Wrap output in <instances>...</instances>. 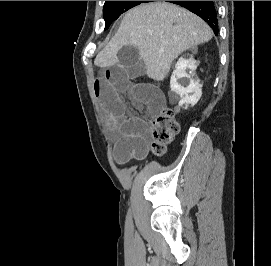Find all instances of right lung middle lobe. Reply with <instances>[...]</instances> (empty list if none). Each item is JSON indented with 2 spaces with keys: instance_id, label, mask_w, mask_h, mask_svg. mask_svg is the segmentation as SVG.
Segmentation results:
<instances>
[{
  "instance_id": "dd1d6c3e",
  "label": "right lung middle lobe",
  "mask_w": 271,
  "mask_h": 266,
  "mask_svg": "<svg viewBox=\"0 0 271 266\" xmlns=\"http://www.w3.org/2000/svg\"><path fill=\"white\" fill-rule=\"evenodd\" d=\"M151 1H105L103 14L106 22L105 30L109 28L111 23L116 20L123 12L141 3Z\"/></svg>"
}]
</instances>
